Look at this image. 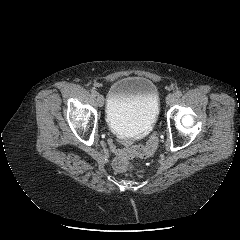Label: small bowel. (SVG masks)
Segmentation results:
<instances>
[{"label":"small bowel","mask_w":240,"mask_h":240,"mask_svg":"<svg viewBox=\"0 0 240 240\" xmlns=\"http://www.w3.org/2000/svg\"><path fill=\"white\" fill-rule=\"evenodd\" d=\"M107 146L110 148L111 152H113L116 155L120 154L123 151L122 148H118L116 146V141L114 139H109L107 141Z\"/></svg>","instance_id":"c3829d8e"}]
</instances>
